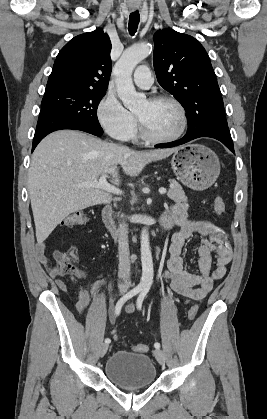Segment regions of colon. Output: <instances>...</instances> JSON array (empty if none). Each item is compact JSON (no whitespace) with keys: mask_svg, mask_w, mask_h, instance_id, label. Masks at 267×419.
<instances>
[{"mask_svg":"<svg viewBox=\"0 0 267 419\" xmlns=\"http://www.w3.org/2000/svg\"><path fill=\"white\" fill-rule=\"evenodd\" d=\"M226 206L224 201L221 198H217L214 201V211L221 215L225 212ZM88 220L87 214L83 211H75L69 214L62 222V225L65 227H73L84 224ZM76 257L70 255L69 253H64L56 251L53 254V259L55 261V269L62 276H73L79 270L75 267L73 261ZM198 305L194 304L190 307L188 311V319L193 320L198 313ZM115 336V334H114ZM133 349L136 352L144 353L148 351V346L145 344H135Z\"/></svg>","mask_w":267,"mask_h":419,"instance_id":"1","label":"colon"}]
</instances>
